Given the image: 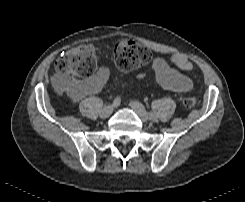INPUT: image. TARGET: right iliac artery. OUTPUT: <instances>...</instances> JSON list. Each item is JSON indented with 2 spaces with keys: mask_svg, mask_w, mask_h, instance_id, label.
I'll use <instances>...</instances> for the list:
<instances>
[{
  "mask_svg": "<svg viewBox=\"0 0 245 202\" xmlns=\"http://www.w3.org/2000/svg\"><path fill=\"white\" fill-rule=\"evenodd\" d=\"M121 102V99L120 97H116L114 100H113V105L114 107H117Z\"/></svg>",
  "mask_w": 245,
  "mask_h": 202,
  "instance_id": "obj_1",
  "label": "right iliac artery"
}]
</instances>
